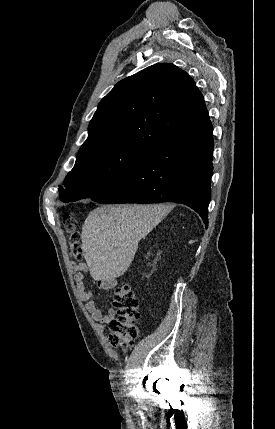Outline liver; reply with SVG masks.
Masks as SVG:
<instances>
[{"label":"liver","mask_w":275,"mask_h":429,"mask_svg":"<svg viewBox=\"0 0 275 429\" xmlns=\"http://www.w3.org/2000/svg\"><path fill=\"white\" fill-rule=\"evenodd\" d=\"M167 205L102 206L87 216L81 240L96 281H115L132 263L139 241L167 214Z\"/></svg>","instance_id":"liver-1"}]
</instances>
